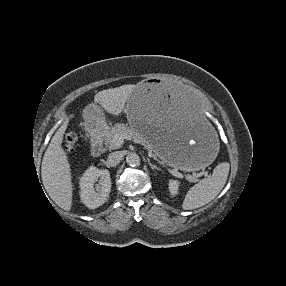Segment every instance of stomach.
<instances>
[{
  "mask_svg": "<svg viewBox=\"0 0 286 286\" xmlns=\"http://www.w3.org/2000/svg\"><path fill=\"white\" fill-rule=\"evenodd\" d=\"M127 100L130 128L142 135L155 154L167 165L182 171L209 166L217 155L219 139L207 118L205 101L179 84L147 78L137 85ZM82 119L89 133L106 128L108 107L87 105Z\"/></svg>",
  "mask_w": 286,
  "mask_h": 286,
  "instance_id": "0dacf381",
  "label": "stomach"
}]
</instances>
